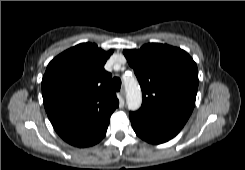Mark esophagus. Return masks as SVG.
Listing matches in <instances>:
<instances>
[{
	"mask_svg": "<svg viewBox=\"0 0 245 170\" xmlns=\"http://www.w3.org/2000/svg\"><path fill=\"white\" fill-rule=\"evenodd\" d=\"M119 96H120V99L122 100V102H124V96H125L124 89H121V91L119 92Z\"/></svg>",
	"mask_w": 245,
	"mask_h": 170,
	"instance_id": "obj_1",
	"label": "esophagus"
}]
</instances>
